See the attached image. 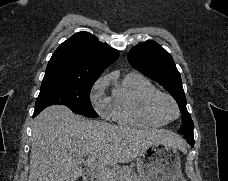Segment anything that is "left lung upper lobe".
<instances>
[{
    "label": "left lung upper lobe",
    "mask_w": 228,
    "mask_h": 181,
    "mask_svg": "<svg viewBox=\"0 0 228 181\" xmlns=\"http://www.w3.org/2000/svg\"><path fill=\"white\" fill-rule=\"evenodd\" d=\"M132 67L163 86L177 101L182 113L179 133L193 132L194 124L186 109L182 81L172 56L155 41L149 40L133 47L128 53Z\"/></svg>",
    "instance_id": "5c2ea615"
}]
</instances>
